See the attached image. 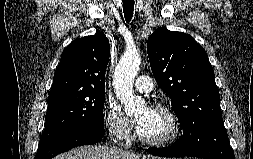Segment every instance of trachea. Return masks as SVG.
<instances>
[{"label": "trachea", "mask_w": 253, "mask_h": 159, "mask_svg": "<svg viewBox=\"0 0 253 159\" xmlns=\"http://www.w3.org/2000/svg\"><path fill=\"white\" fill-rule=\"evenodd\" d=\"M134 10V0H123V12L127 22L131 21Z\"/></svg>", "instance_id": "trachea-1"}]
</instances>
